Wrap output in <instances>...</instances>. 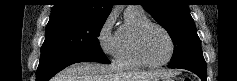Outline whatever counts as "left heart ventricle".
I'll use <instances>...</instances> for the list:
<instances>
[{"label": "left heart ventricle", "mask_w": 237, "mask_h": 81, "mask_svg": "<svg viewBox=\"0 0 237 81\" xmlns=\"http://www.w3.org/2000/svg\"><path fill=\"white\" fill-rule=\"evenodd\" d=\"M143 53L150 62H161L170 53V43L165 34L158 28L151 27L143 38Z\"/></svg>", "instance_id": "left-heart-ventricle-1"}]
</instances>
